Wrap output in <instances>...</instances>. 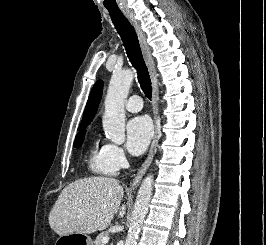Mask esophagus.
Instances as JSON below:
<instances>
[{
    "label": "esophagus",
    "instance_id": "obj_1",
    "mask_svg": "<svg viewBox=\"0 0 266 245\" xmlns=\"http://www.w3.org/2000/svg\"><path fill=\"white\" fill-rule=\"evenodd\" d=\"M125 16L129 19L130 23L133 25V27L135 29V32H136L138 39H139V42H140V46L142 48L145 62L147 64V67H148V70L150 73V77H151V81H152L151 82L152 83V89H153L152 103H153L154 123H155V136H154L153 142L150 146L146 160L144 161V163L142 164V167L137 172V174L135 175V178L131 182L130 190L132 191L140 183L143 175L146 173V170L148 169L150 163L152 162L153 156H154V150H155V147L157 144V132H158L156 120H157V115H158L157 98H158L159 89H158V83H157V71H156V67H155V62H154V59L152 57L151 48L148 45V42L146 40L145 33L141 29L140 24L137 21V19L130 12H126Z\"/></svg>",
    "mask_w": 266,
    "mask_h": 245
}]
</instances>
